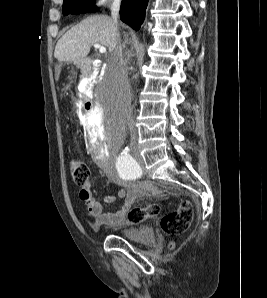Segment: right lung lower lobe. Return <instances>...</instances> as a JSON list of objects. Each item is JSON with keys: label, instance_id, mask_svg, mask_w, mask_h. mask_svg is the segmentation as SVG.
I'll return each mask as SVG.
<instances>
[{"label": "right lung lower lobe", "instance_id": "1", "mask_svg": "<svg viewBox=\"0 0 267 298\" xmlns=\"http://www.w3.org/2000/svg\"><path fill=\"white\" fill-rule=\"evenodd\" d=\"M148 0H122L120 18L135 30H139L145 18Z\"/></svg>", "mask_w": 267, "mask_h": 298}]
</instances>
